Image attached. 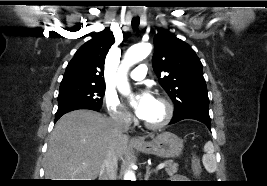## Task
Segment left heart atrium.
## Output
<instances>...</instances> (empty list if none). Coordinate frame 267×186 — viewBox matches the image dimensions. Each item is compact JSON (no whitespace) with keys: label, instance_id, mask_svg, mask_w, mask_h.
<instances>
[{"label":"left heart atrium","instance_id":"left-heart-atrium-1","mask_svg":"<svg viewBox=\"0 0 267 186\" xmlns=\"http://www.w3.org/2000/svg\"><path fill=\"white\" fill-rule=\"evenodd\" d=\"M155 101H156V99L148 91H144L141 94H139L136 97V103H135L136 115L139 118L145 120L148 117V115L150 114V111H151Z\"/></svg>","mask_w":267,"mask_h":186}]
</instances>
